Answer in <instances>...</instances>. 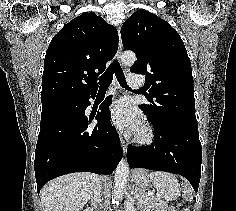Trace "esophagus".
I'll return each mask as SVG.
<instances>
[{
	"instance_id": "1",
	"label": "esophagus",
	"mask_w": 236,
	"mask_h": 211,
	"mask_svg": "<svg viewBox=\"0 0 236 211\" xmlns=\"http://www.w3.org/2000/svg\"><path fill=\"white\" fill-rule=\"evenodd\" d=\"M118 32H119V43H118V50H117V53H116V57L119 60L120 56H121V53H122V40H121L120 28L118 29ZM118 134H119L121 147H122L123 151L126 152L127 151V143H126L122 133L119 132Z\"/></svg>"
}]
</instances>
